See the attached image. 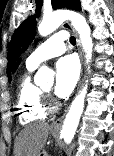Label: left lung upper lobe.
<instances>
[{
	"instance_id": "obj_1",
	"label": "left lung upper lobe",
	"mask_w": 114,
	"mask_h": 156,
	"mask_svg": "<svg viewBox=\"0 0 114 156\" xmlns=\"http://www.w3.org/2000/svg\"><path fill=\"white\" fill-rule=\"evenodd\" d=\"M42 6V0L36 2V16H39ZM53 9L69 8L77 11L81 10V5L78 0H52ZM36 33V18L31 16L27 18L14 32L8 48V65L7 75L9 81L11 80L10 71L17 59V57L24 52L28 45L33 41Z\"/></svg>"
}]
</instances>
